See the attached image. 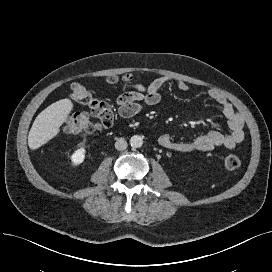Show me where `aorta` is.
Wrapping results in <instances>:
<instances>
[{
	"label": "aorta",
	"mask_w": 272,
	"mask_h": 272,
	"mask_svg": "<svg viewBox=\"0 0 272 272\" xmlns=\"http://www.w3.org/2000/svg\"><path fill=\"white\" fill-rule=\"evenodd\" d=\"M132 148H140L143 145V138L139 135H134L130 138Z\"/></svg>",
	"instance_id": "762f6f07"
}]
</instances>
